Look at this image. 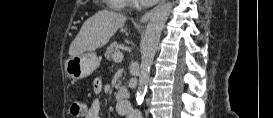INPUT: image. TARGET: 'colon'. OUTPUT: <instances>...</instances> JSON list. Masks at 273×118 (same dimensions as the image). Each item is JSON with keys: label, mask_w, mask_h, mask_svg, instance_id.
Instances as JSON below:
<instances>
[{"label": "colon", "mask_w": 273, "mask_h": 118, "mask_svg": "<svg viewBox=\"0 0 273 118\" xmlns=\"http://www.w3.org/2000/svg\"><path fill=\"white\" fill-rule=\"evenodd\" d=\"M70 114L73 117H83L86 114V106L84 102L79 99L72 100L70 104Z\"/></svg>", "instance_id": "obj_1"}]
</instances>
